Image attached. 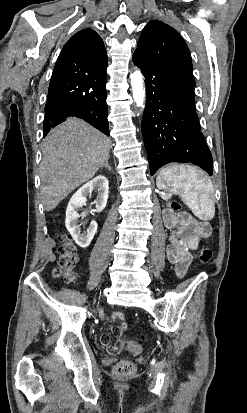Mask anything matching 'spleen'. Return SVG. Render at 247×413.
Here are the masks:
<instances>
[{
    "label": "spleen",
    "mask_w": 247,
    "mask_h": 413,
    "mask_svg": "<svg viewBox=\"0 0 247 413\" xmlns=\"http://www.w3.org/2000/svg\"><path fill=\"white\" fill-rule=\"evenodd\" d=\"M156 184L158 188H169L170 194H179L193 213L202 221H208L211 215L214 200H212L213 184L204 172L196 166L180 168L174 172L173 168H161Z\"/></svg>",
    "instance_id": "1"
}]
</instances>
